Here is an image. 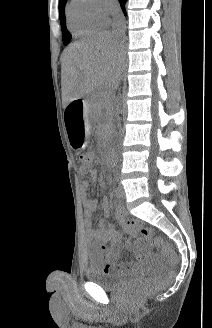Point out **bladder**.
Returning a JSON list of instances; mask_svg holds the SVG:
<instances>
[{
    "label": "bladder",
    "mask_w": 212,
    "mask_h": 328,
    "mask_svg": "<svg viewBox=\"0 0 212 328\" xmlns=\"http://www.w3.org/2000/svg\"><path fill=\"white\" fill-rule=\"evenodd\" d=\"M139 274L122 275L116 273H106L94 268H90L86 271V278L100 285L102 288L108 291H118L127 286L138 278Z\"/></svg>",
    "instance_id": "bladder-1"
}]
</instances>
